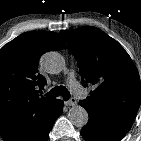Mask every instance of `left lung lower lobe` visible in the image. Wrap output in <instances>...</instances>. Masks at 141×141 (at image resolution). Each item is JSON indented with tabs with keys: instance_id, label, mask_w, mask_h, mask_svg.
<instances>
[{
	"instance_id": "obj_1",
	"label": "left lung lower lobe",
	"mask_w": 141,
	"mask_h": 141,
	"mask_svg": "<svg viewBox=\"0 0 141 141\" xmlns=\"http://www.w3.org/2000/svg\"><path fill=\"white\" fill-rule=\"evenodd\" d=\"M84 108L89 114L88 123L81 130L86 141H120L131 128L133 118H112Z\"/></svg>"
}]
</instances>
